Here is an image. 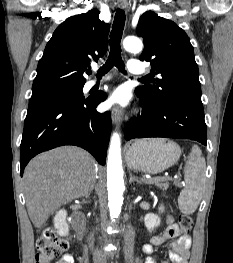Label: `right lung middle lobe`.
<instances>
[{
  "mask_svg": "<svg viewBox=\"0 0 233 263\" xmlns=\"http://www.w3.org/2000/svg\"><path fill=\"white\" fill-rule=\"evenodd\" d=\"M82 88H83V86L77 87V88H72V89H67V90H63V91H58V92H52V93L32 96L29 100V105H32L34 103L41 102V101L56 99V98H63V99L79 98V99H83L84 97H83V93H82Z\"/></svg>",
  "mask_w": 233,
  "mask_h": 263,
  "instance_id": "obj_1",
  "label": "right lung middle lobe"
}]
</instances>
